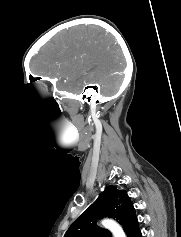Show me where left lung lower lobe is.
<instances>
[{
	"label": "left lung lower lobe",
	"mask_w": 181,
	"mask_h": 237,
	"mask_svg": "<svg viewBox=\"0 0 181 237\" xmlns=\"http://www.w3.org/2000/svg\"><path fill=\"white\" fill-rule=\"evenodd\" d=\"M135 237H142L141 232H139L138 234H136Z\"/></svg>",
	"instance_id": "0a47b994"
}]
</instances>
